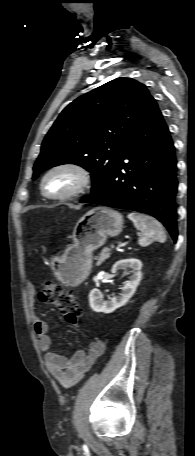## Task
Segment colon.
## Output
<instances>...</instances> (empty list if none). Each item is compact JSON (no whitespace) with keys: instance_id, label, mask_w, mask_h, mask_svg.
<instances>
[{"instance_id":"obj_1","label":"colon","mask_w":195,"mask_h":456,"mask_svg":"<svg viewBox=\"0 0 195 456\" xmlns=\"http://www.w3.org/2000/svg\"><path fill=\"white\" fill-rule=\"evenodd\" d=\"M38 296L43 303L57 307L69 324L74 326L78 324L81 309L71 291L56 282L47 280Z\"/></svg>"}]
</instances>
